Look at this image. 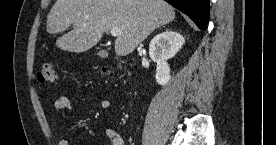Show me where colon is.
<instances>
[{
	"instance_id": "obj_1",
	"label": "colon",
	"mask_w": 276,
	"mask_h": 145,
	"mask_svg": "<svg viewBox=\"0 0 276 145\" xmlns=\"http://www.w3.org/2000/svg\"><path fill=\"white\" fill-rule=\"evenodd\" d=\"M37 79L43 84H52L57 81V72L52 62H46L40 66L37 72Z\"/></svg>"
}]
</instances>
